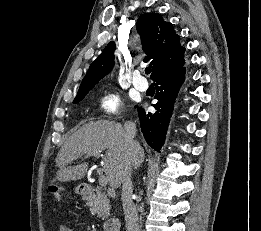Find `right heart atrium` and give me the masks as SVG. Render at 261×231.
<instances>
[{
  "label": "right heart atrium",
  "mask_w": 261,
  "mask_h": 231,
  "mask_svg": "<svg viewBox=\"0 0 261 231\" xmlns=\"http://www.w3.org/2000/svg\"><path fill=\"white\" fill-rule=\"evenodd\" d=\"M96 106L102 114L112 116L121 111L123 102L117 92L107 91L99 96Z\"/></svg>",
  "instance_id": "d8ad5b80"
}]
</instances>
